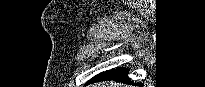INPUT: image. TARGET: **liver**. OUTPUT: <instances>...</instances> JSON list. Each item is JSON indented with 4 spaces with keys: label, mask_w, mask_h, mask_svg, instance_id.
<instances>
[{
    "label": "liver",
    "mask_w": 205,
    "mask_h": 87,
    "mask_svg": "<svg viewBox=\"0 0 205 87\" xmlns=\"http://www.w3.org/2000/svg\"><path fill=\"white\" fill-rule=\"evenodd\" d=\"M92 87H127V86H123V84L115 83V82H102L98 84H93Z\"/></svg>",
    "instance_id": "6515ba94"
}]
</instances>
